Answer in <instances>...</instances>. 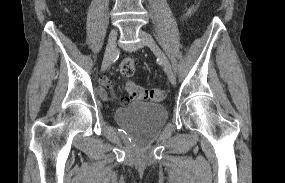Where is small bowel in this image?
Returning a JSON list of instances; mask_svg holds the SVG:
<instances>
[{"instance_id":"c3829d8e","label":"small bowel","mask_w":285,"mask_h":183,"mask_svg":"<svg viewBox=\"0 0 285 183\" xmlns=\"http://www.w3.org/2000/svg\"><path fill=\"white\" fill-rule=\"evenodd\" d=\"M101 85L102 86L98 89V94L102 98L107 99L108 92H110L111 94L113 93L111 81L108 78L104 77L101 79Z\"/></svg>"}]
</instances>
